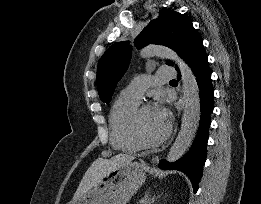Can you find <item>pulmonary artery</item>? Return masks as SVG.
I'll return each instance as SVG.
<instances>
[{"mask_svg": "<svg viewBox=\"0 0 261 204\" xmlns=\"http://www.w3.org/2000/svg\"><path fill=\"white\" fill-rule=\"evenodd\" d=\"M176 76L177 72L175 68L170 66L160 67L154 75H142L137 77L121 91L120 96L124 99L140 102L148 87L163 84Z\"/></svg>", "mask_w": 261, "mask_h": 204, "instance_id": "e3ab8cb5", "label": "pulmonary artery"}]
</instances>
